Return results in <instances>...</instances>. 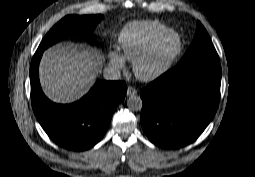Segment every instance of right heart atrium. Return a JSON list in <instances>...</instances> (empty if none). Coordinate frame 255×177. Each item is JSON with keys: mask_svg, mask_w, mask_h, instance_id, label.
Here are the masks:
<instances>
[{"mask_svg": "<svg viewBox=\"0 0 255 177\" xmlns=\"http://www.w3.org/2000/svg\"><path fill=\"white\" fill-rule=\"evenodd\" d=\"M112 62L119 70H123L126 67L125 60L117 49L112 51Z\"/></svg>", "mask_w": 255, "mask_h": 177, "instance_id": "1", "label": "right heart atrium"}]
</instances>
